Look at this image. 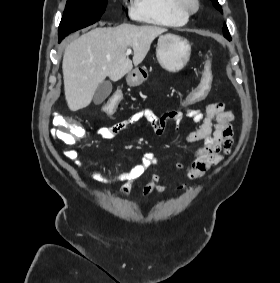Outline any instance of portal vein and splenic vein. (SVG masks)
I'll return each instance as SVG.
<instances>
[{"label":"portal vein and splenic vein","instance_id":"18ae733b","mask_svg":"<svg viewBox=\"0 0 280 283\" xmlns=\"http://www.w3.org/2000/svg\"><path fill=\"white\" fill-rule=\"evenodd\" d=\"M130 52H131V49H130V48H128V49H127V53H130Z\"/></svg>","mask_w":280,"mask_h":283}]
</instances>
